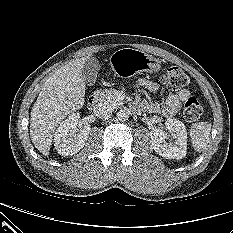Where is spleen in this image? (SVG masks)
I'll list each match as a JSON object with an SVG mask.
<instances>
[{
    "instance_id": "1",
    "label": "spleen",
    "mask_w": 233,
    "mask_h": 233,
    "mask_svg": "<svg viewBox=\"0 0 233 233\" xmlns=\"http://www.w3.org/2000/svg\"><path fill=\"white\" fill-rule=\"evenodd\" d=\"M211 127V124L208 122H198L191 125L189 130L191 143L197 152H201L207 147Z\"/></svg>"
}]
</instances>
